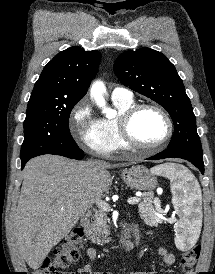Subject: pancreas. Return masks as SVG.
<instances>
[{"mask_svg":"<svg viewBox=\"0 0 215 274\" xmlns=\"http://www.w3.org/2000/svg\"><path fill=\"white\" fill-rule=\"evenodd\" d=\"M143 201L138 204L141 218L149 225H156L159 219L154 211L160 210V200L154 198L152 192L143 193ZM86 235L94 244H106L110 241L108 236L107 214L100 210L96 211L93 220L88 223Z\"/></svg>","mask_w":215,"mask_h":274,"instance_id":"obj_1","label":"pancreas"}]
</instances>
